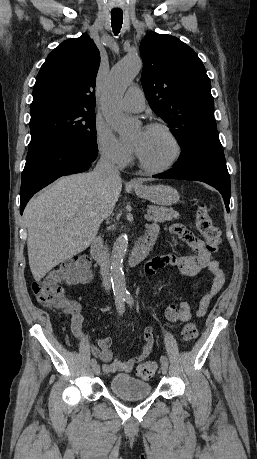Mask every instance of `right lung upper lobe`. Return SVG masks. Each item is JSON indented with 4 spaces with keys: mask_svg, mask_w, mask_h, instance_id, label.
<instances>
[{
    "mask_svg": "<svg viewBox=\"0 0 257 459\" xmlns=\"http://www.w3.org/2000/svg\"><path fill=\"white\" fill-rule=\"evenodd\" d=\"M99 65V50L87 34L62 42L37 75L30 111L52 106L94 110Z\"/></svg>",
    "mask_w": 257,
    "mask_h": 459,
    "instance_id": "obj_1",
    "label": "right lung upper lobe"
}]
</instances>
